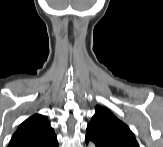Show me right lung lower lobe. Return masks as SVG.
Instances as JSON below:
<instances>
[{
  "instance_id": "right-lung-lower-lobe-1",
  "label": "right lung lower lobe",
  "mask_w": 163,
  "mask_h": 147,
  "mask_svg": "<svg viewBox=\"0 0 163 147\" xmlns=\"http://www.w3.org/2000/svg\"><path fill=\"white\" fill-rule=\"evenodd\" d=\"M15 147H58V141L57 138H54L47 142L22 143L16 145Z\"/></svg>"
}]
</instances>
